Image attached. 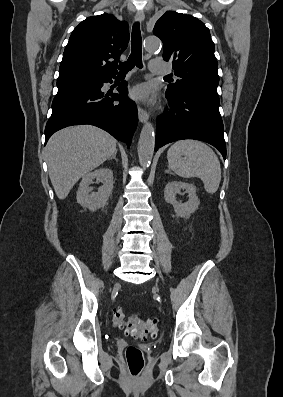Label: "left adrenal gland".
<instances>
[{"label": "left adrenal gland", "mask_w": 283, "mask_h": 397, "mask_svg": "<svg viewBox=\"0 0 283 397\" xmlns=\"http://www.w3.org/2000/svg\"><path fill=\"white\" fill-rule=\"evenodd\" d=\"M165 173L173 174L169 168H168V170L165 171Z\"/></svg>", "instance_id": "1"}]
</instances>
